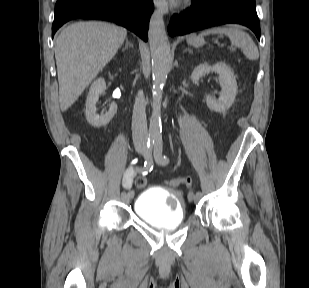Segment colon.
Here are the masks:
<instances>
[{
	"instance_id": "5ec220e1",
	"label": "colon",
	"mask_w": 309,
	"mask_h": 288,
	"mask_svg": "<svg viewBox=\"0 0 309 288\" xmlns=\"http://www.w3.org/2000/svg\"><path fill=\"white\" fill-rule=\"evenodd\" d=\"M135 184L138 188H142L146 184V179L144 177H137L135 180ZM168 185L171 187H178L180 185H184L187 188H192L193 181L190 177H177L170 179L168 181Z\"/></svg>"
}]
</instances>
